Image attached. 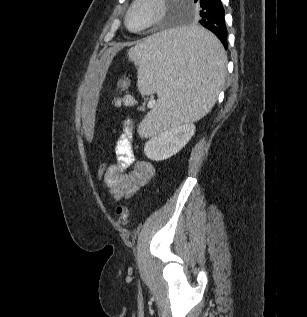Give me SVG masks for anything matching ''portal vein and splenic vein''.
Segmentation results:
<instances>
[{"label": "portal vein and splenic vein", "instance_id": "portal-vein-and-splenic-vein-1", "mask_svg": "<svg viewBox=\"0 0 307 317\" xmlns=\"http://www.w3.org/2000/svg\"><path fill=\"white\" fill-rule=\"evenodd\" d=\"M154 104H155V101H154V100H152V101L149 102V105H151V106H153Z\"/></svg>", "mask_w": 307, "mask_h": 317}]
</instances>
